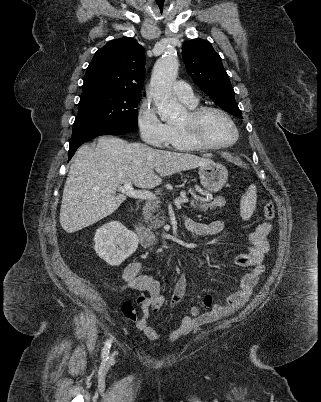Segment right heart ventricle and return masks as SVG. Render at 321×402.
Segmentation results:
<instances>
[{
  "label": "right heart ventricle",
  "instance_id": "e07e8e85",
  "mask_svg": "<svg viewBox=\"0 0 321 402\" xmlns=\"http://www.w3.org/2000/svg\"><path fill=\"white\" fill-rule=\"evenodd\" d=\"M188 109H194L198 107V100L192 103H185ZM169 139L167 145L175 150L180 151H195L200 148L194 145L184 134L179 126V123L168 124Z\"/></svg>",
  "mask_w": 321,
  "mask_h": 402
}]
</instances>
